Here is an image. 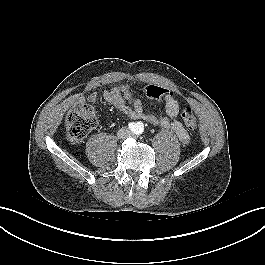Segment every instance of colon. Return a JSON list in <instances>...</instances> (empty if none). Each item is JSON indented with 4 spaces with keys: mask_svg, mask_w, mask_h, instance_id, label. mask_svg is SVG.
<instances>
[{
    "mask_svg": "<svg viewBox=\"0 0 265 265\" xmlns=\"http://www.w3.org/2000/svg\"><path fill=\"white\" fill-rule=\"evenodd\" d=\"M167 90L163 87L149 85L144 88V93L152 99H161ZM184 125L192 130L196 127L197 121L193 109L186 106L182 111ZM96 111L91 106H83L80 109L70 112L66 117L67 137L70 142L80 143L96 126Z\"/></svg>",
    "mask_w": 265,
    "mask_h": 265,
    "instance_id": "colon-1",
    "label": "colon"
}]
</instances>
